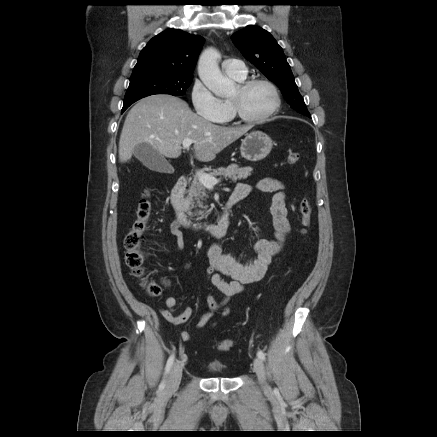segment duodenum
Wrapping results in <instances>:
<instances>
[{"mask_svg": "<svg viewBox=\"0 0 437 437\" xmlns=\"http://www.w3.org/2000/svg\"><path fill=\"white\" fill-rule=\"evenodd\" d=\"M188 183L189 177L187 175H182L178 178L171 191V204L175 211L176 220L185 228L194 231H202L215 238L224 236L230 226V211L238 203L239 198L233 194L230 196L217 223L202 224L193 222L188 217L184 201V194Z\"/></svg>", "mask_w": 437, "mask_h": 437, "instance_id": "obj_1", "label": "duodenum"}]
</instances>
